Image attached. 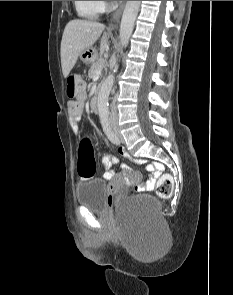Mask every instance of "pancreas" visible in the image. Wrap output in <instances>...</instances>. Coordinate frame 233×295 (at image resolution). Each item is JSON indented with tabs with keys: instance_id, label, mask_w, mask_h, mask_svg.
Masks as SVG:
<instances>
[{
	"instance_id": "1",
	"label": "pancreas",
	"mask_w": 233,
	"mask_h": 295,
	"mask_svg": "<svg viewBox=\"0 0 233 295\" xmlns=\"http://www.w3.org/2000/svg\"><path fill=\"white\" fill-rule=\"evenodd\" d=\"M102 66H104L103 60L97 59L95 62H93L88 72L89 78L93 79L96 76V71Z\"/></svg>"
}]
</instances>
